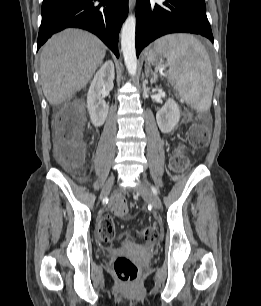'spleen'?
Returning <instances> with one entry per match:
<instances>
[{
	"label": "spleen",
	"mask_w": 261,
	"mask_h": 306,
	"mask_svg": "<svg viewBox=\"0 0 261 306\" xmlns=\"http://www.w3.org/2000/svg\"><path fill=\"white\" fill-rule=\"evenodd\" d=\"M167 58L169 81L187 104L198 111L211 107L214 89L212 66L203 44L189 34H170L155 41Z\"/></svg>",
	"instance_id": "spleen-1"
}]
</instances>
